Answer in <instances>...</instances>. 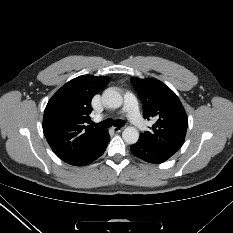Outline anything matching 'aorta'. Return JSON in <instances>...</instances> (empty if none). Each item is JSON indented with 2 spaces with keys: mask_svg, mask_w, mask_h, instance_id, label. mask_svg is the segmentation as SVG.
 <instances>
[{
  "mask_svg": "<svg viewBox=\"0 0 233 233\" xmlns=\"http://www.w3.org/2000/svg\"><path fill=\"white\" fill-rule=\"evenodd\" d=\"M104 104L112 109H116L122 106L123 98L121 94L114 88H108L103 92ZM123 140L127 144H135L139 139V132L133 126H128L122 132Z\"/></svg>",
  "mask_w": 233,
  "mask_h": 233,
  "instance_id": "obj_1",
  "label": "aorta"
}]
</instances>
